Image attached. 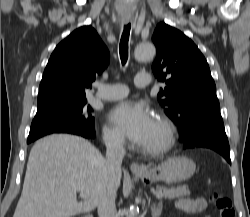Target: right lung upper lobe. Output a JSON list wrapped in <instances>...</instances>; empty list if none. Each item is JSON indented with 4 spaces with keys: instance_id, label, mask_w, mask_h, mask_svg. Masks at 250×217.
I'll use <instances>...</instances> for the list:
<instances>
[{
    "instance_id": "right-lung-upper-lobe-1",
    "label": "right lung upper lobe",
    "mask_w": 250,
    "mask_h": 217,
    "mask_svg": "<svg viewBox=\"0 0 250 217\" xmlns=\"http://www.w3.org/2000/svg\"><path fill=\"white\" fill-rule=\"evenodd\" d=\"M109 51L95 29L83 26L53 51L39 87L38 109L86 99L95 75L109 63Z\"/></svg>"
}]
</instances>
